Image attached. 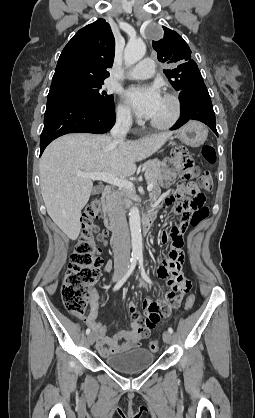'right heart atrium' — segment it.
I'll list each match as a JSON object with an SVG mask.
<instances>
[{"mask_svg":"<svg viewBox=\"0 0 255 418\" xmlns=\"http://www.w3.org/2000/svg\"><path fill=\"white\" fill-rule=\"evenodd\" d=\"M117 121L123 125H130L133 121L131 110L124 103H119L116 108Z\"/></svg>","mask_w":255,"mask_h":418,"instance_id":"obj_1","label":"right heart atrium"}]
</instances>
